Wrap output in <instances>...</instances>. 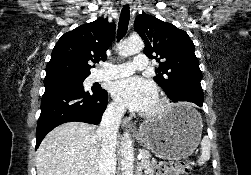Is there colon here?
<instances>
[{"label":"colon","instance_id":"5ec220e1","mask_svg":"<svg viewBox=\"0 0 251 175\" xmlns=\"http://www.w3.org/2000/svg\"><path fill=\"white\" fill-rule=\"evenodd\" d=\"M190 171L191 166L181 160L161 161L157 165L158 175H188Z\"/></svg>","mask_w":251,"mask_h":175}]
</instances>
